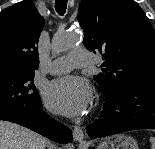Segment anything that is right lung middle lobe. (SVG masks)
I'll use <instances>...</instances> for the list:
<instances>
[{
    "mask_svg": "<svg viewBox=\"0 0 155 149\" xmlns=\"http://www.w3.org/2000/svg\"><path fill=\"white\" fill-rule=\"evenodd\" d=\"M40 102L34 72L0 68V113L29 115Z\"/></svg>",
    "mask_w": 155,
    "mask_h": 149,
    "instance_id": "dd1d6c3e",
    "label": "right lung middle lobe"
}]
</instances>
